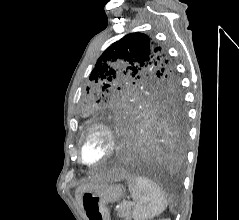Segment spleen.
Returning a JSON list of instances; mask_svg holds the SVG:
<instances>
[{"label": "spleen", "instance_id": "1", "mask_svg": "<svg viewBox=\"0 0 239 220\" xmlns=\"http://www.w3.org/2000/svg\"><path fill=\"white\" fill-rule=\"evenodd\" d=\"M128 187L134 201V220L152 219L166 209L168 201L161 188L146 177L128 178Z\"/></svg>", "mask_w": 239, "mask_h": 220}]
</instances>
